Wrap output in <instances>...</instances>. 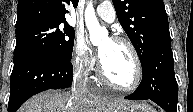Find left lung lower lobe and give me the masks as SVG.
<instances>
[{"label":"left lung lower lobe","instance_id":"1","mask_svg":"<svg viewBox=\"0 0 193 112\" xmlns=\"http://www.w3.org/2000/svg\"><path fill=\"white\" fill-rule=\"evenodd\" d=\"M143 77L129 100H151L166 112H177L178 85L174 74V59L170 39L154 46L141 63Z\"/></svg>","mask_w":193,"mask_h":112}]
</instances>
